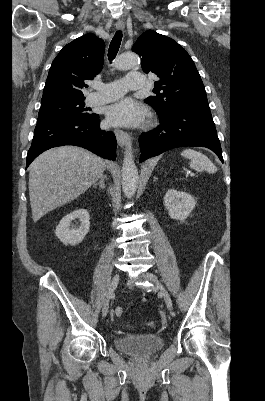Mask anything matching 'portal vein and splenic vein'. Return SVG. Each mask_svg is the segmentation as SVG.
<instances>
[{
  "mask_svg": "<svg viewBox=\"0 0 265 401\" xmlns=\"http://www.w3.org/2000/svg\"><path fill=\"white\" fill-rule=\"evenodd\" d=\"M187 174H191L193 176L194 172H191V170H186Z\"/></svg>",
  "mask_w": 265,
  "mask_h": 401,
  "instance_id": "portal-vein-and-splenic-vein-1",
  "label": "portal vein and splenic vein"
}]
</instances>
